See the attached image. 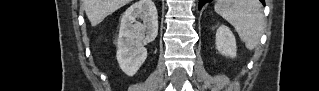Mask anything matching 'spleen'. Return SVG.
<instances>
[{
	"label": "spleen",
	"instance_id": "obj_1",
	"mask_svg": "<svg viewBox=\"0 0 319 91\" xmlns=\"http://www.w3.org/2000/svg\"><path fill=\"white\" fill-rule=\"evenodd\" d=\"M214 9L235 28L248 50L258 45L264 31V15L257 0H218Z\"/></svg>",
	"mask_w": 319,
	"mask_h": 91
}]
</instances>
